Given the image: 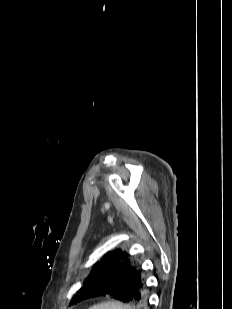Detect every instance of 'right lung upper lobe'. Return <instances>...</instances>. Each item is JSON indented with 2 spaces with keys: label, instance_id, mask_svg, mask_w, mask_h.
Returning a JSON list of instances; mask_svg holds the SVG:
<instances>
[{
  "label": "right lung upper lobe",
  "instance_id": "cb5924a9",
  "mask_svg": "<svg viewBox=\"0 0 232 309\" xmlns=\"http://www.w3.org/2000/svg\"><path fill=\"white\" fill-rule=\"evenodd\" d=\"M130 262V255L121 250H115L105 254L103 260L95 265L91 274L99 271H116L117 268L122 264H127Z\"/></svg>",
  "mask_w": 232,
  "mask_h": 309
}]
</instances>
